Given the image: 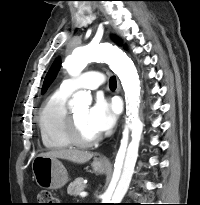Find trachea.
<instances>
[{"instance_id":"1","label":"trachea","mask_w":200,"mask_h":205,"mask_svg":"<svg viewBox=\"0 0 200 205\" xmlns=\"http://www.w3.org/2000/svg\"><path fill=\"white\" fill-rule=\"evenodd\" d=\"M109 86H110L111 88H116L117 82H116V78H115V77H112V78L110 79Z\"/></svg>"}]
</instances>
